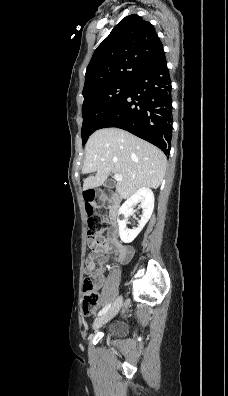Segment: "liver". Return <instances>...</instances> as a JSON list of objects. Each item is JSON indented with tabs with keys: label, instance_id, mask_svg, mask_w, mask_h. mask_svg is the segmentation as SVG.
<instances>
[{
	"label": "liver",
	"instance_id": "6515ba94",
	"mask_svg": "<svg viewBox=\"0 0 228 396\" xmlns=\"http://www.w3.org/2000/svg\"><path fill=\"white\" fill-rule=\"evenodd\" d=\"M85 155L82 173L96 175L84 180L83 189L101 186L111 173L120 174L116 188L123 199L142 187L157 189L166 172L167 159L159 148L119 128L94 132Z\"/></svg>",
	"mask_w": 228,
	"mask_h": 396
}]
</instances>
